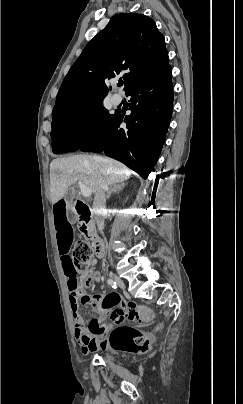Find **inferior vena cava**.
Returning <instances> with one entry per match:
<instances>
[{"mask_svg":"<svg viewBox=\"0 0 243 404\" xmlns=\"http://www.w3.org/2000/svg\"><path fill=\"white\" fill-rule=\"evenodd\" d=\"M106 190H107V184H105L103 176H98L97 190L93 204V212L99 232H103L104 230L103 214L106 210V198H105Z\"/></svg>","mask_w":243,"mask_h":404,"instance_id":"602c4592","label":"inferior vena cava"}]
</instances>
